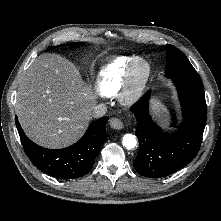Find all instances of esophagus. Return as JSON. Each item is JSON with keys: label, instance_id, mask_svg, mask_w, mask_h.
<instances>
[{"label": "esophagus", "instance_id": "34e87169", "mask_svg": "<svg viewBox=\"0 0 221 221\" xmlns=\"http://www.w3.org/2000/svg\"><path fill=\"white\" fill-rule=\"evenodd\" d=\"M110 126L113 129L120 130L123 128V122L119 118H111Z\"/></svg>", "mask_w": 221, "mask_h": 221}]
</instances>
